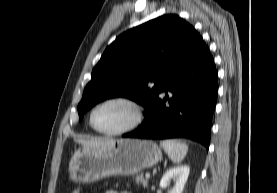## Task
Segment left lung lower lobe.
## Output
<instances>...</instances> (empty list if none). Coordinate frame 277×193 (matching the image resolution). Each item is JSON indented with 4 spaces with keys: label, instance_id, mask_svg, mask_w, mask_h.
<instances>
[{
    "label": "left lung lower lobe",
    "instance_id": "obj_1",
    "mask_svg": "<svg viewBox=\"0 0 277 193\" xmlns=\"http://www.w3.org/2000/svg\"><path fill=\"white\" fill-rule=\"evenodd\" d=\"M167 90L172 93L169 98ZM154 106L146 112L138 130L127 138H189L209 148L213 112L218 93V73L205 42L199 35L188 57L165 83ZM168 101L169 105H165Z\"/></svg>",
    "mask_w": 277,
    "mask_h": 193
}]
</instances>
